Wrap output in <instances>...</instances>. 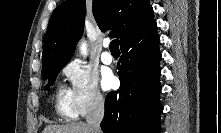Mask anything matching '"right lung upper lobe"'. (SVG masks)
Returning a JSON list of instances; mask_svg holds the SVG:
<instances>
[{"instance_id": "obj_1", "label": "right lung upper lobe", "mask_w": 221, "mask_h": 133, "mask_svg": "<svg viewBox=\"0 0 221 133\" xmlns=\"http://www.w3.org/2000/svg\"><path fill=\"white\" fill-rule=\"evenodd\" d=\"M85 0H67L52 14L42 54L43 67L68 62L83 34ZM93 15L102 31L120 38V45L157 32L149 0H93Z\"/></svg>"}]
</instances>
